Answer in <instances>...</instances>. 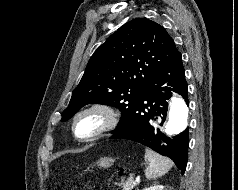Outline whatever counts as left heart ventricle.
Returning <instances> with one entry per match:
<instances>
[{
    "instance_id": "left-heart-ventricle-1",
    "label": "left heart ventricle",
    "mask_w": 238,
    "mask_h": 190,
    "mask_svg": "<svg viewBox=\"0 0 238 190\" xmlns=\"http://www.w3.org/2000/svg\"><path fill=\"white\" fill-rule=\"evenodd\" d=\"M102 124V118L97 114L86 115L78 122V131L82 135H88L97 130Z\"/></svg>"
}]
</instances>
